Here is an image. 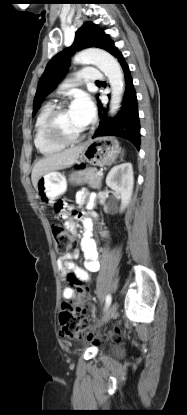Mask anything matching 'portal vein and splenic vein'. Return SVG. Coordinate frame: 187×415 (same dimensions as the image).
Masks as SVG:
<instances>
[{"label":"portal vein and splenic vein","instance_id":"1","mask_svg":"<svg viewBox=\"0 0 187 415\" xmlns=\"http://www.w3.org/2000/svg\"><path fill=\"white\" fill-rule=\"evenodd\" d=\"M98 175H103L102 171H98L97 173Z\"/></svg>","mask_w":187,"mask_h":415}]
</instances>
